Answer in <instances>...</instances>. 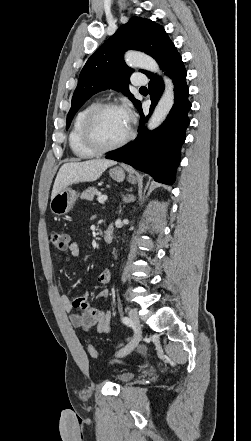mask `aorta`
I'll return each mask as SVG.
<instances>
[{
  "label": "aorta",
  "instance_id": "obj_1",
  "mask_svg": "<svg viewBox=\"0 0 251 441\" xmlns=\"http://www.w3.org/2000/svg\"><path fill=\"white\" fill-rule=\"evenodd\" d=\"M125 60L131 67L145 69L163 76L165 90L148 121V129L153 130L163 123L173 107L175 99L173 82L171 79L163 75L156 61L148 55L140 52L128 51L125 54Z\"/></svg>",
  "mask_w": 251,
  "mask_h": 441
}]
</instances>
